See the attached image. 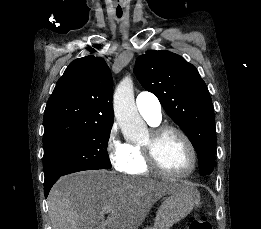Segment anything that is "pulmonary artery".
Listing matches in <instances>:
<instances>
[{"label": "pulmonary artery", "instance_id": "e3ab8cb5", "mask_svg": "<svg viewBox=\"0 0 261 229\" xmlns=\"http://www.w3.org/2000/svg\"><path fill=\"white\" fill-rule=\"evenodd\" d=\"M136 106L141 116L151 124H158L162 118L159 99L150 92H140L136 97Z\"/></svg>", "mask_w": 261, "mask_h": 229}]
</instances>
